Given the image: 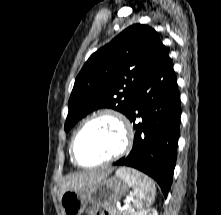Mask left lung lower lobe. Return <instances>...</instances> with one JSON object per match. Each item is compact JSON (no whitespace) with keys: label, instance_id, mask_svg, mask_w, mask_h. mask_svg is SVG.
Segmentation results:
<instances>
[{"label":"left lung lower lobe","instance_id":"1","mask_svg":"<svg viewBox=\"0 0 221 215\" xmlns=\"http://www.w3.org/2000/svg\"><path fill=\"white\" fill-rule=\"evenodd\" d=\"M180 116L176 76L162 45L130 104L127 117L135 130L133 148L113 165L133 167L149 175L159 184L165 198L176 164ZM137 117L142 121L135 124Z\"/></svg>","mask_w":221,"mask_h":215}]
</instances>
